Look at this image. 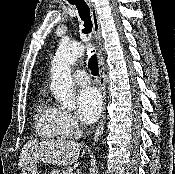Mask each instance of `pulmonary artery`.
Segmentation results:
<instances>
[{
    "label": "pulmonary artery",
    "mask_w": 175,
    "mask_h": 174,
    "mask_svg": "<svg viewBox=\"0 0 175 174\" xmlns=\"http://www.w3.org/2000/svg\"><path fill=\"white\" fill-rule=\"evenodd\" d=\"M73 81L80 86H86L90 83V78L84 70H78L73 74Z\"/></svg>",
    "instance_id": "1"
}]
</instances>
